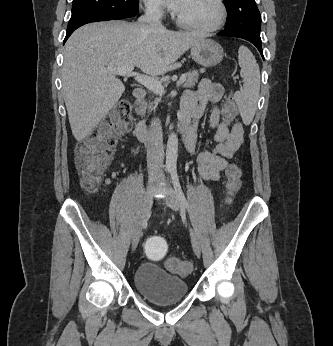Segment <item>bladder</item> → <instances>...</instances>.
Returning <instances> with one entry per match:
<instances>
[{"instance_id":"31cf9c89","label":"bladder","mask_w":333,"mask_h":346,"mask_svg":"<svg viewBox=\"0 0 333 346\" xmlns=\"http://www.w3.org/2000/svg\"><path fill=\"white\" fill-rule=\"evenodd\" d=\"M133 282L144 298L156 304L178 302L188 293V283L184 279L152 263L141 264Z\"/></svg>"}]
</instances>
